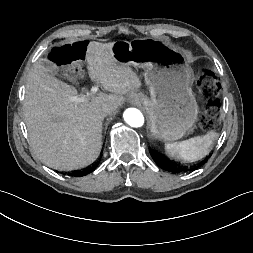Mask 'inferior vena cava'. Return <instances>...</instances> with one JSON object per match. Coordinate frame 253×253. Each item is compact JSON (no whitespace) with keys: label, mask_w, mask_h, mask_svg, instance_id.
<instances>
[{"label":"inferior vena cava","mask_w":253,"mask_h":253,"mask_svg":"<svg viewBox=\"0 0 253 253\" xmlns=\"http://www.w3.org/2000/svg\"><path fill=\"white\" fill-rule=\"evenodd\" d=\"M115 106L111 105V104H104L103 107H102V111L105 113V114H110L112 112L115 111Z\"/></svg>","instance_id":"602c4592"}]
</instances>
